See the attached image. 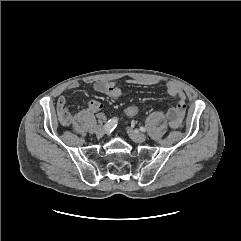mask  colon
<instances>
[{"label": "colon", "mask_w": 241, "mask_h": 241, "mask_svg": "<svg viewBox=\"0 0 241 241\" xmlns=\"http://www.w3.org/2000/svg\"><path fill=\"white\" fill-rule=\"evenodd\" d=\"M139 112V108L136 105H130L126 107L124 113L127 117H133Z\"/></svg>", "instance_id": "1"}]
</instances>
